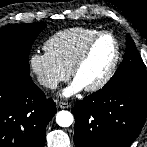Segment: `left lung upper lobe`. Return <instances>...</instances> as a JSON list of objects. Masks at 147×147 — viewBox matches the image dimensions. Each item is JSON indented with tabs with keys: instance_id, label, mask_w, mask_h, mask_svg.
<instances>
[{
	"instance_id": "obj_1",
	"label": "left lung upper lobe",
	"mask_w": 147,
	"mask_h": 147,
	"mask_svg": "<svg viewBox=\"0 0 147 147\" xmlns=\"http://www.w3.org/2000/svg\"><path fill=\"white\" fill-rule=\"evenodd\" d=\"M126 45L127 49L122 63L103 88L125 83L147 84L146 67L129 34L126 36Z\"/></svg>"
}]
</instances>
